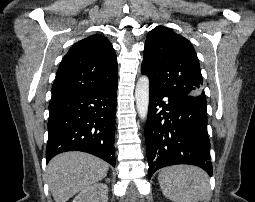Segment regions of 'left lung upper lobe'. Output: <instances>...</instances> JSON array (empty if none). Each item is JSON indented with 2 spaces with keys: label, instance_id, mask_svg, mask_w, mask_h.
<instances>
[{
  "label": "left lung upper lobe",
  "instance_id": "obj_1",
  "mask_svg": "<svg viewBox=\"0 0 255 202\" xmlns=\"http://www.w3.org/2000/svg\"><path fill=\"white\" fill-rule=\"evenodd\" d=\"M141 72L149 77L150 87L206 103L192 44L167 27L157 26L148 33Z\"/></svg>",
  "mask_w": 255,
  "mask_h": 202
}]
</instances>
